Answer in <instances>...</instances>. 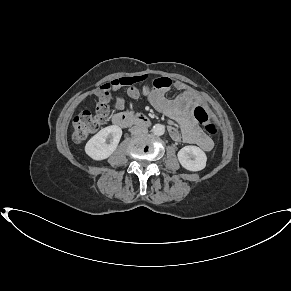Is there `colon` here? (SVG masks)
Segmentation results:
<instances>
[{
  "label": "colon",
  "instance_id": "5ec220e1",
  "mask_svg": "<svg viewBox=\"0 0 291 291\" xmlns=\"http://www.w3.org/2000/svg\"><path fill=\"white\" fill-rule=\"evenodd\" d=\"M164 85H167L166 81H162L158 84V86ZM120 86H127L128 94L133 98H137L141 94L149 93L151 91V86L143 77H124L103 84L99 87L96 93L100 100L96 106L95 112L92 113L88 110H84L77 114L73 119L74 139L76 141L85 140L89 135L99 131V129L104 125L109 114L108 102L111 95V89ZM193 113L196 120L203 126L208 134H218L219 125L207 106L198 105L194 108Z\"/></svg>",
  "mask_w": 291,
  "mask_h": 291
}]
</instances>
